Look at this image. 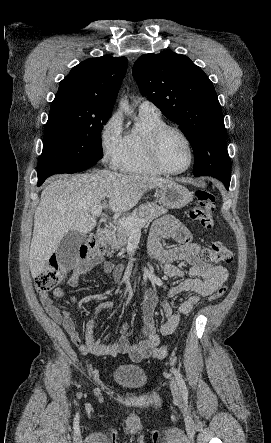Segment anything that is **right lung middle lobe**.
I'll list each match as a JSON object with an SVG mask.
<instances>
[{
    "label": "right lung middle lobe",
    "instance_id": "1",
    "mask_svg": "<svg viewBox=\"0 0 271 443\" xmlns=\"http://www.w3.org/2000/svg\"><path fill=\"white\" fill-rule=\"evenodd\" d=\"M110 115L94 116L73 104L51 105L37 171L61 164H96L101 131Z\"/></svg>",
    "mask_w": 271,
    "mask_h": 443
}]
</instances>
